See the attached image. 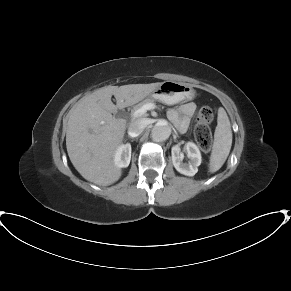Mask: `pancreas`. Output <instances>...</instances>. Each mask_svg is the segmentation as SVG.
<instances>
[{
    "instance_id": "obj_1",
    "label": "pancreas",
    "mask_w": 291,
    "mask_h": 291,
    "mask_svg": "<svg viewBox=\"0 0 291 291\" xmlns=\"http://www.w3.org/2000/svg\"><path fill=\"white\" fill-rule=\"evenodd\" d=\"M154 101H155V99L153 97L146 98L145 100H143L140 103H138L137 105H135L133 107V110L135 111V110L139 109L140 107H142L143 105L148 104V103H152Z\"/></svg>"
}]
</instances>
